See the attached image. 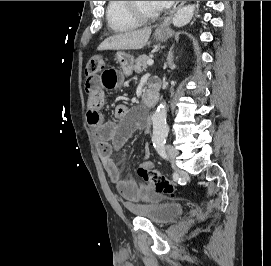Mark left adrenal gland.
Segmentation results:
<instances>
[{"mask_svg":"<svg viewBox=\"0 0 271 266\" xmlns=\"http://www.w3.org/2000/svg\"><path fill=\"white\" fill-rule=\"evenodd\" d=\"M167 61H168L169 65L173 64V54H172V52L169 53Z\"/></svg>","mask_w":271,"mask_h":266,"instance_id":"1","label":"left adrenal gland"}]
</instances>
